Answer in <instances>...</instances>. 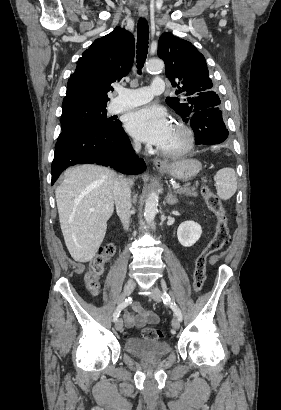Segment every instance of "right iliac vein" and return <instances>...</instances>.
Listing matches in <instances>:
<instances>
[{"label":"right iliac vein","mask_w":281,"mask_h":410,"mask_svg":"<svg viewBox=\"0 0 281 410\" xmlns=\"http://www.w3.org/2000/svg\"><path fill=\"white\" fill-rule=\"evenodd\" d=\"M135 288V283L132 281L126 282L124 286V295L129 296ZM115 328L117 331H121L123 329V321L121 318H118L115 322Z\"/></svg>","instance_id":"right-iliac-vein-1"}]
</instances>
